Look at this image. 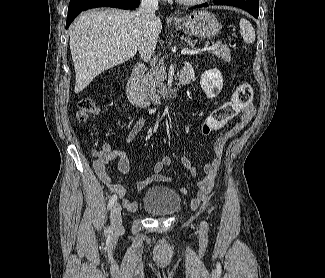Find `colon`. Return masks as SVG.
I'll use <instances>...</instances> for the list:
<instances>
[{
    "instance_id": "1",
    "label": "colon",
    "mask_w": 325,
    "mask_h": 278,
    "mask_svg": "<svg viewBox=\"0 0 325 278\" xmlns=\"http://www.w3.org/2000/svg\"><path fill=\"white\" fill-rule=\"evenodd\" d=\"M253 87L248 82L237 85L230 101L215 109L202 123L201 132L208 135L235 117L240 111L247 108L253 98ZM77 118L80 122H87L96 116L100 108L91 98H84L78 104Z\"/></svg>"
}]
</instances>
